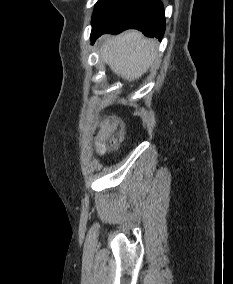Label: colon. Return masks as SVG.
<instances>
[{
    "mask_svg": "<svg viewBox=\"0 0 233 284\" xmlns=\"http://www.w3.org/2000/svg\"><path fill=\"white\" fill-rule=\"evenodd\" d=\"M112 132H113V127L110 125H105L102 128L101 138L96 146L97 152L99 154H102L105 151L108 144L110 145L115 144L114 138L111 137Z\"/></svg>",
    "mask_w": 233,
    "mask_h": 284,
    "instance_id": "1",
    "label": "colon"
}]
</instances>
